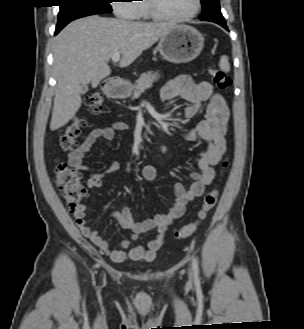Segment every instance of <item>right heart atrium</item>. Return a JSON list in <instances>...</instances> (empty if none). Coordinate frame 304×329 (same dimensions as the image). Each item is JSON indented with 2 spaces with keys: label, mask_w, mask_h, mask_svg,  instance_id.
Masks as SVG:
<instances>
[{
  "label": "right heart atrium",
  "mask_w": 304,
  "mask_h": 329,
  "mask_svg": "<svg viewBox=\"0 0 304 329\" xmlns=\"http://www.w3.org/2000/svg\"><path fill=\"white\" fill-rule=\"evenodd\" d=\"M133 0H114L113 10L116 15L123 19H136L137 7L133 4Z\"/></svg>",
  "instance_id": "d8ad5b80"
}]
</instances>
